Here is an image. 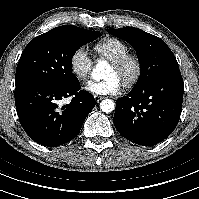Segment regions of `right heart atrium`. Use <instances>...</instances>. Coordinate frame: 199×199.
Listing matches in <instances>:
<instances>
[{
    "mask_svg": "<svg viewBox=\"0 0 199 199\" xmlns=\"http://www.w3.org/2000/svg\"><path fill=\"white\" fill-rule=\"evenodd\" d=\"M92 67V59L84 47L77 48L70 58L71 72L79 79L86 80Z\"/></svg>",
    "mask_w": 199,
    "mask_h": 199,
    "instance_id": "d8ad5b80",
    "label": "right heart atrium"
}]
</instances>
